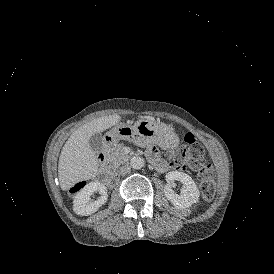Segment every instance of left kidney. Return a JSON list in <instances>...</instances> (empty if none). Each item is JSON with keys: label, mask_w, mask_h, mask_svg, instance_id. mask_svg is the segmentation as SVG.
<instances>
[{"label": "left kidney", "mask_w": 274, "mask_h": 274, "mask_svg": "<svg viewBox=\"0 0 274 274\" xmlns=\"http://www.w3.org/2000/svg\"><path fill=\"white\" fill-rule=\"evenodd\" d=\"M165 178L164 192L174 206L178 208L189 207L198 201L200 193L191 176L182 171H171L166 174ZM175 181H180L183 184L181 194H177L173 190Z\"/></svg>", "instance_id": "left-kidney-1"}]
</instances>
